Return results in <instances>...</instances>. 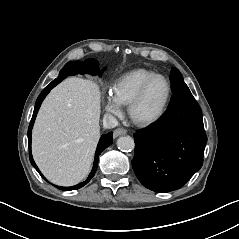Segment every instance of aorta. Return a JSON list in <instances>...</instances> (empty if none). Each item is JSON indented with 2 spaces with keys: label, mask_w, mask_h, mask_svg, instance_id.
Returning a JSON list of instances; mask_svg holds the SVG:
<instances>
[{
  "label": "aorta",
  "mask_w": 239,
  "mask_h": 239,
  "mask_svg": "<svg viewBox=\"0 0 239 239\" xmlns=\"http://www.w3.org/2000/svg\"><path fill=\"white\" fill-rule=\"evenodd\" d=\"M117 146L120 150L131 151L134 149V140L130 136H122L117 140Z\"/></svg>",
  "instance_id": "obj_1"
}]
</instances>
